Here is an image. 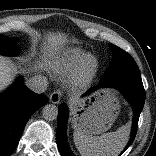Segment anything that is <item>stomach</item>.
Masks as SVG:
<instances>
[{
  "mask_svg": "<svg viewBox=\"0 0 156 156\" xmlns=\"http://www.w3.org/2000/svg\"><path fill=\"white\" fill-rule=\"evenodd\" d=\"M114 110V107L102 106L98 101L82 111L72 106L71 123L73 127L79 126L88 129L92 134H100L107 131L115 121Z\"/></svg>",
  "mask_w": 156,
  "mask_h": 156,
  "instance_id": "obj_1",
  "label": "stomach"
}]
</instances>
